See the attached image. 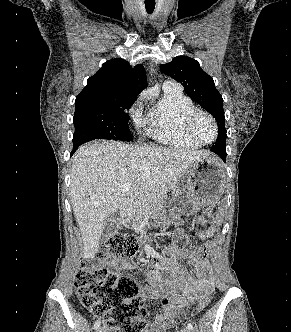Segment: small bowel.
<instances>
[{"instance_id":"1","label":"small bowel","mask_w":291,"mask_h":332,"mask_svg":"<svg viewBox=\"0 0 291 332\" xmlns=\"http://www.w3.org/2000/svg\"><path fill=\"white\" fill-rule=\"evenodd\" d=\"M180 225L181 220H173ZM203 220H198L202 225ZM218 224L212 225V233L216 232ZM198 236L204 238V231L198 230ZM173 243L166 249L165 255L157 254L150 246L146 247L148 254L152 256L151 263L145 268L149 287L142 293L144 299H157L160 302L161 312L153 321L149 332H168L177 309H184L191 302L196 301L203 293L210 292L213 281L210 267L207 261V251L210 247L205 244L197 249H191L187 236L182 227L175 230ZM177 258H185L193 261L197 274L187 275L177 263ZM112 267L118 271H132L137 268L130 260L113 262Z\"/></svg>"}]
</instances>
